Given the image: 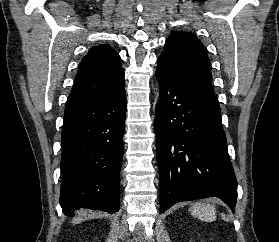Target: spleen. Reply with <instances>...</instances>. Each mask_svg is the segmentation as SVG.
<instances>
[{
	"label": "spleen",
	"instance_id": "1",
	"mask_svg": "<svg viewBox=\"0 0 279 242\" xmlns=\"http://www.w3.org/2000/svg\"><path fill=\"white\" fill-rule=\"evenodd\" d=\"M190 212L193 216L204 221H214L216 219V208L212 204L196 202L190 208Z\"/></svg>",
	"mask_w": 279,
	"mask_h": 242
}]
</instances>
